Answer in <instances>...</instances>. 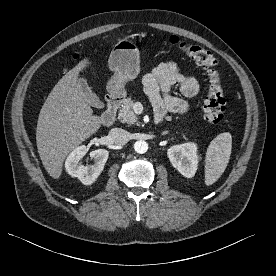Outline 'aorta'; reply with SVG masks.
I'll return each instance as SVG.
<instances>
[{"instance_id":"aorta-1","label":"aorta","mask_w":276,"mask_h":276,"mask_svg":"<svg viewBox=\"0 0 276 276\" xmlns=\"http://www.w3.org/2000/svg\"><path fill=\"white\" fill-rule=\"evenodd\" d=\"M134 150L139 154H143V153L147 152V150H148L147 142H145L143 140L136 141L134 144Z\"/></svg>"}]
</instances>
